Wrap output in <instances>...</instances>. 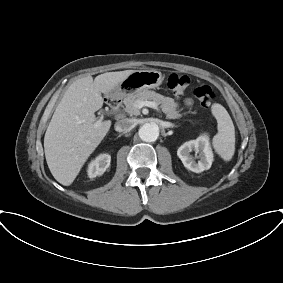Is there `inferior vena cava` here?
<instances>
[{"label": "inferior vena cava", "mask_w": 283, "mask_h": 283, "mask_svg": "<svg viewBox=\"0 0 283 283\" xmlns=\"http://www.w3.org/2000/svg\"><path fill=\"white\" fill-rule=\"evenodd\" d=\"M132 127L133 121L128 118L120 119L115 124V130L119 132L131 130Z\"/></svg>", "instance_id": "inferior-vena-cava-1"}]
</instances>
